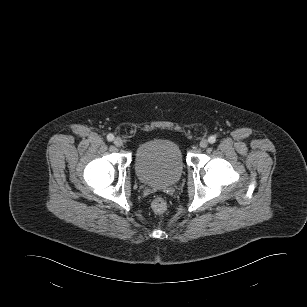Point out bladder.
<instances>
[{
    "label": "bladder",
    "mask_w": 307,
    "mask_h": 307,
    "mask_svg": "<svg viewBox=\"0 0 307 307\" xmlns=\"http://www.w3.org/2000/svg\"><path fill=\"white\" fill-rule=\"evenodd\" d=\"M138 179L149 186H171L185 169L180 145L170 139H154L140 145L134 157Z\"/></svg>",
    "instance_id": "obj_1"
}]
</instances>
